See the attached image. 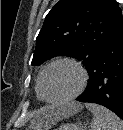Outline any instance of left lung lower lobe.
<instances>
[{
  "label": "left lung lower lobe",
  "instance_id": "obj_1",
  "mask_svg": "<svg viewBox=\"0 0 123 130\" xmlns=\"http://www.w3.org/2000/svg\"><path fill=\"white\" fill-rule=\"evenodd\" d=\"M89 84L77 101L103 105L123 119V25L88 70Z\"/></svg>",
  "mask_w": 123,
  "mask_h": 130
}]
</instances>
